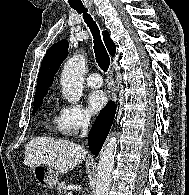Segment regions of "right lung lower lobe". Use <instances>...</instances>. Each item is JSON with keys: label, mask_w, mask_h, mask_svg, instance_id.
<instances>
[{"label": "right lung lower lobe", "mask_w": 189, "mask_h": 195, "mask_svg": "<svg viewBox=\"0 0 189 195\" xmlns=\"http://www.w3.org/2000/svg\"><path fill=\"white\" fill-rule=\"evenodd\" d=\"M116 112V105L113 101H109L107 106L102 109L96 118L90 132H89V148L92 154L98 155L102 145L109 133L110 127L114 120Z\"/></svg>", "instance_id": "1"}]
</instances>
